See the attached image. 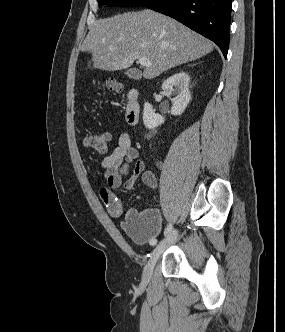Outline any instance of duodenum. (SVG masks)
<instances>
[{
    "mask_svg": "<svg viewBox=\"0 0 285 332\" xmlns=\"http://www.w3.org/2000/svg\"><path fill=\"white\" fill-rule=\"evenodd\" d=\"M140 110L139 92L137 89H131L125 107V119L129 125H136L139 122Z\"/></svg>",
    "mask_w": 285,
    "mask_h": 332,
    "instance_id": "410a0bca",
    "label": "duodenum"
}]
</instances>
